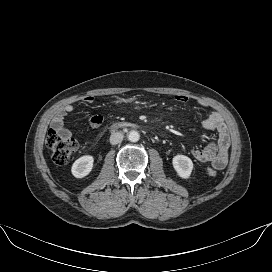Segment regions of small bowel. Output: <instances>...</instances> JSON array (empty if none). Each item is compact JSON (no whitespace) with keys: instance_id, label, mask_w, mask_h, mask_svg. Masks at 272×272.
Wrapping results in <instances>:
<instances>
[{"instance_id":"small-bowel-1","label":"small bowel","mask_w":272,"mask_h":272,"mask_svg":"<svg viewBox=\"0 0 272 272\" xmlns=\"http://www.w3.org/2000/svg\"><path fill=\"white\" fill-rule=\"evenodd\" d=\"M175 100L180 103L188 101V97L182 94L175 96ZM95 101L92 95L86 96L84 102L91 104ZM204 105L203 103H200ZM73 111V105L66 104L63 106L52 120V128L66 137H71V132L65 127V118L68 113ZM89 123L93 127H99L103 123V118L98 115H93L89 118ZM201 126L211 132L217 134L215 142H211L205 147L192 150V156L201 163L209 162L216 170L225 168L228 161V150L230 147V134L221 115L211 111L201 121Z\"/></svg>"}]
</instances>
